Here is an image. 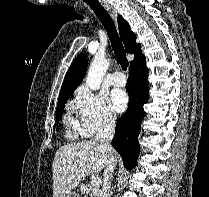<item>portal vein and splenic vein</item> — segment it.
I'll return each instance as SVG.
<instances>
[{"mask_svg":"<svg viewBox=\"0 0 209 197\" xmlns=\"http://www.w3.org/2000/svg\"><path fill=\"white\" fill-rule=\"evenodd\" d=\"M101 183H102V180L99 177H95L92 180V184H94V185H100Z\"/></svg>","mask_w":209,"mask_h":197,"instance_id":"1","label":"portal vein and splenic vein"}]
</instances>
